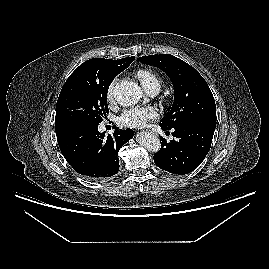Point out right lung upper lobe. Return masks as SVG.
I'll use <instances>...</instances> for the list:
<instances>
[{"instance_id": "right-lung-upper-lobe-1", "label": "right lung upper lobe", "mask_w": 269, "mask_h": 269, "mask_svg": "<svg viewBox=\"0 0 269 269\" xmlns=\"http://www.w3.org/2000/svg\"><path fill=\"white\" fill-rule=\"evenodd\" d=\"M134 59L135 57H126L119 60L93 58L81 64L73 73L99 81H113Z\"/></svg>"}]
</instances>
